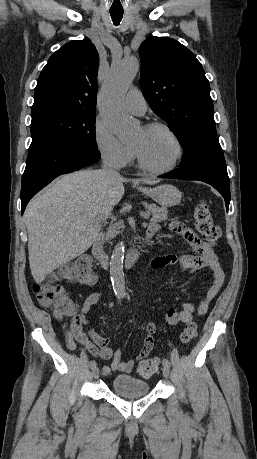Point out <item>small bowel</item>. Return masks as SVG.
<instances>
[{"label": "small bowel", "mask_w": 257, "mask_h": 459, "mask_svg": "<svg viewBox=\"0 0 257 459\" xmlns=\"http://www.w3.org/2000/svg\"><path fill=\"white\" fill-rule=\"evenodd\" d=\"M159 229L160 225L158 222H151L147 231L151 230L156 234ZM169 229L171 232L180 235L190 245L194 254L160 256L151 261L150 267L158 269L167 266H178L186 273H194L200 269L207 268L213 275L212 285L198 305L191 302H183L179 310L170 307L166 311L165 318L170 325L186 324L192 322L196 314L203 315L206 313L210 302L223 287L225 275L212 248L199 239L192 228L179 221H173L169 224ZM100 298V293L94 292L78 308L76 318L72 319L71 325L65 333L66 345L70 350H75V341H77L93 356H97L103 360L112 359L111 365H105L102 369V373L105 376L110 375L113 371L129 373L133 370L136 361L146 358L153 349L154 333L156 332L157 325L155 323L147 325L144 344L136 359L123 361L122 352L120 350L113 352L108 338L102 337L92 329H89L87 333L84 331V328L87 326L85 316L91 307L99 302Z\"/></svg>", "instance_id": "c3829d8e"}]
</instances>
